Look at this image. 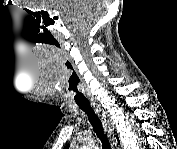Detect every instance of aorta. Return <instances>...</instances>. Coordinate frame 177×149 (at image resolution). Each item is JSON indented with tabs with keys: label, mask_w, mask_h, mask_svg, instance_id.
I'll return each instance as SVG.
<instances>
[{
	"label": "aorta",
	"mask_w": 177,
	"mask_h": 149,
	"mask_svg": "<svg viewBox=\"0 0 177 149\" xmlns=\"http://www.w3.org/2000/svg\"><path fill=\"white\" fill-rule=\"evenodd\" d=\"M85 149H98V146L97 145H87V146H84Z\"/></svg>",
	"instance_id": "1"
}]
</instances>
